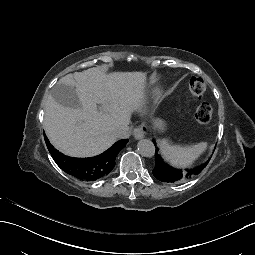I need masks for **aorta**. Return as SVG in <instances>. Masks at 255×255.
Listing matches in <instances>:
<instances>
[{
  "mask_svg": "<svg viewBox=\"0 0 255 255\" xmlns=\"http://www.w3.org/2000/svg\"><path fill=\"white\" fill-rule=\"evenodd\" d=\"M138 151L144 157H153L155 154V146L152 141L148 139H141L138 144Z\"/></svg>",
  "mask_w": 255,
  "mask_h": 255,
  "instance_id": "aorta-1",
  "label": "aorta"
}]
</instances>
